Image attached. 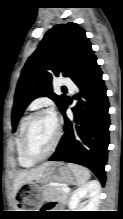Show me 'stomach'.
Masks as SVG:
<instances>
[{
    "label": "stomach",
    "instance_id": "obj_1",
    "mask_svg": "<svg viewBox=\"0 0 123 219\" xmlns=\"http://www.w3.org/2000/svg\"><path fill=\"white\" fill-rule=\"evenodd\" d=\"M76 177L70 167L63 162H52L37 179L25 184L26 190L21 195L19 209H38L44 201L43 189L49 182L71 184ZM17 208V207H16ZM35 211V210H15Z\"/></svg>",
    "mask_w": 123,
    "mask_h": 219
}]
</instances>
